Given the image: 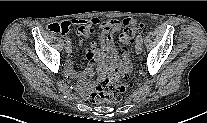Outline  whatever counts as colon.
Listing matches in <instances>:
<instances>
[{"instance_id": "obj_1", "label": "colon", "mask_w": 207, "mask_h": 123, "mask_svg": "<svg viewBox=\"0 0 207 123\" xmlns=\"http://www.w3.org/2000/svg\"><path fill=\"white\" fill-rule=\"evenodd\" d=\"M144 24L136 22L129 27H126L119 37V47L121 51L126 54L129 50V46L134 39L136 33L144 29ZM48 29L52 32L60 31V24L55 22L48 25ZM133 84L127 77H122L119 74H115L107 78L102 85L98 86L91 94V100L93 103H115L120 100L123 93L131 90Z\"/></svg>"}]
</instances>
